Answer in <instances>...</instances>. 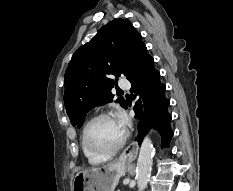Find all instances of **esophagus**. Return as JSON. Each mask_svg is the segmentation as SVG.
Returning <instances> with one entry per match:
<instances>
[{"label":"esophagus","instance_id":"obj_1","mask_svg":"<svg viewBox=\"0 0 233 191\" xmlns=\"http://www.w3.org/2000/svg\"><path fill=\"white\" fill-rule=\"evenodd\" d=\"M138 151V145L136 142L132 143L124 152L121 154L120 159L126 161L127 159H133L136 157Z\"/></svg>","mask_w":233,"mask_h":191}]
</instances>
